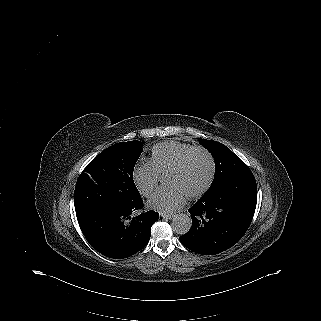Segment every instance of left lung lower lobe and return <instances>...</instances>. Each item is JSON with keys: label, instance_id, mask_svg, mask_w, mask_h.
I'll return each instance as SVG.
<instances>
[{"label": "left lung lower lobe", "instance_id": "left-lung-lower-lobe-1", "mask_svg": "<svg viewBox=\"0 0 321 321\" xmlns=\"http://www.w3.org/2000/svg\"><path fill=\"white\" fill-rule=\"evenodd\" d=\"M257 203L252 172L240 173L207 191L189 209L192 227L179 237L193 252L215 255L235 245L251 224Z\"/></svg>", "mask_w": 321, "mask_h": 321}]
</instances>
